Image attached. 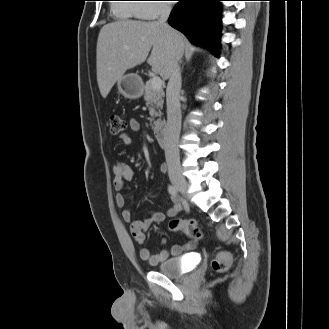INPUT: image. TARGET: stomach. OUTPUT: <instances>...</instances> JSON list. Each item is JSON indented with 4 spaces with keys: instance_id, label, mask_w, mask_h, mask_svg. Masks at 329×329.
Returning <instances> with one entry per match:
<instances>
[{
    "instance_id": "0dacf381",
    "label": "stomach",
    "mask_w": 329,
    "mask_h": 329,
    "mask_svg": "<svg viewBox=\"0 0 329 329\" xmlns=\"http://www.w3.org/2000/svg\"><path fill=\"white\" fill-rule=\"evenodd\" d=\"M118 92L129 99H138L143 94L142 79L134 73L127 74L117 83Z\"/></svg>"
}]
</instances>
